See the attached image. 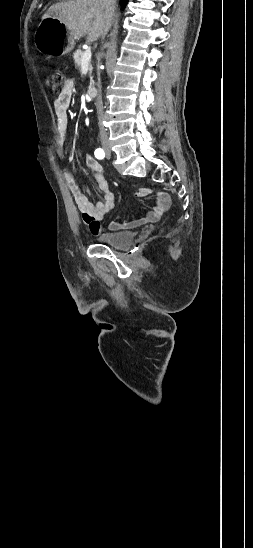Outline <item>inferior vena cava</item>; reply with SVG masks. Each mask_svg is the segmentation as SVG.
<instances>
[{"label": "inferior vena cava", "mask_w": 253, "mask_h": 548, "mask_svg": "<svg viewBox=\"0 0 253 548\" xmlns=\"http://www.w3.org/2000/svg\"><path fill=\"white\" fill-rule=\"evenodd\" d=\"M101 4H102V7L104 9V14H105V18H106V26L102 32V39L105 38V36L107 35L108 31H109V28L111 26V19L115 13V10H116V0H101ZM97 112H98V115H97V126H98V129L100 130V138L101 140H107L108 139V134H107V130L105 129V126H104V119H105V114L103 113V102H102V97L101 95L99 96L98 98V101H97Z\"/></svg>", "instance_id": "inferior-vena-cava-1"}]
</instances>
